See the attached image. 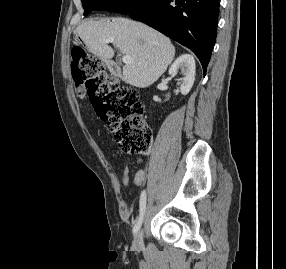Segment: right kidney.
I'll return each mask as SVG.
<instances>
[{
    "instance_id": "obj_1",
    "label": "right kidney",
    "mask_w": 286,
    "mask_h": 269,
    "mask_svg": "<svg viewBox=\"0 0 286 269\" xmlns=\"http://www.w3.org/2000/svg\"><path fill=\"white\" fill-rule=\"evenodd\" d=\"M181 70L183 78L179 79L180 91L187 95L191 90L195 80V60L192 55L183 54L178 57L169 69L170 75H176Z\"/></svg>"
}]
</instances>
